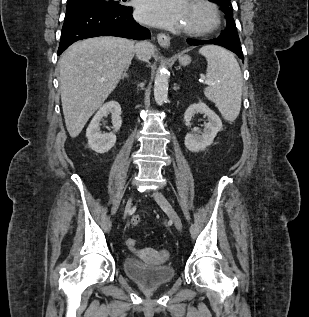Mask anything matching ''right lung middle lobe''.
<instances>
[{"label": "right lung middle lobe", "mask_w": 309, "mask_h": 317, "mask_svg": "<svg viewBox=\"0 0 309 317\" xmlns=\"http://www.w3.org/2000/svg\"><path fill=\"white\" fill-rule=\"evenodd\" d=\"M69 2L93 4L113 9H123L126 7L121 0H68Z\"/></svg>", "instance_id": "1"}]
</instances>
